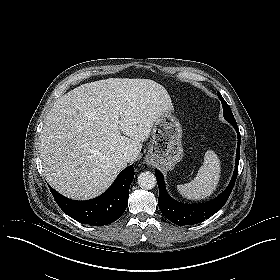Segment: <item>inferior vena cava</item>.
Wrapping results in <instances>:
<instances>
[{
    "label": "inferior vena cava",
    "mask_w": 280,
    "mask_h": 280,
    "mask_svg": "<svg viewBox=\"0 0 280 280\" xmlns=\"http://www.w3.org/2000/svg\"><path fill=\"white\" fill-rule=\"evenodd\" d=\"M122 158H123V160L129 162V161L132 159V156H131V154H129L128 152H125V153L122 155Z\"/></svg>",
    "instance_id": "obj_1"
}]
</instances>
